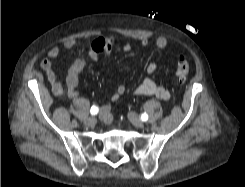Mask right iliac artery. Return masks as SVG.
<instances>
[{"instance_id": "obj_1", "label": "right iliac artery", "mask_w": 245, "mask_h": 187, "mask_svg": "<svg viewBox=\"0 0 245 187\" xmlns=\"http://www.w3.org/2000/svg\"><path fill=\"white\" fill-rule=\"evenodd\" d=\"M98 111H99V109H98V107H96V106H92L91 109H90V113H91L92 115L97 114Z\"/></svg>"}]
</instances>
